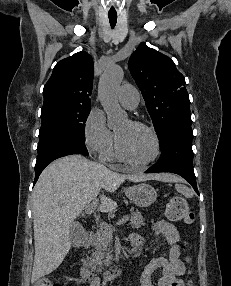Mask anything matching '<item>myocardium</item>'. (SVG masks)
<instances>
[{"mask_svg": "<svg viewBox=\"0 0 231 286\" xmlns=\"http://www.w3.org/2000/svg\"><path fill=\"white\" fill-rule=\"evenodd\" d=\"M129 122L133 126L144 129L145 131H147L152 136L153 141H154V153L148 160H146L144 162H141V163L134 162L124 154L117 135H115V153H116L117 157L121 161H123L124 163H126V164H128L134 168L143 169V168H146L147 166H149L150 164H152L154 161L157 160V158L159 157V155L161 153V142H160V139H159L157 132L152 127L148 126L147 124H145L143 122L136 121V120H131Z\"/></svg>", "mask_w": 231, "mask_h": 286, "instance_id": "f54148a6", "label": "myocardium"}]
</instances>
